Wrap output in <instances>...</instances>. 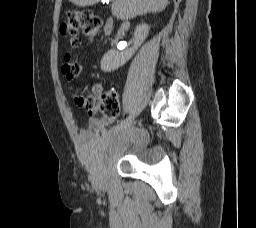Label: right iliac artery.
<instances>
[{
	"instance_id": "obj_1",
	"label": "right iliac artery",
	"mask_w": 256,
	"mask_h": 228,
	"mask_svg": "<svg viewBox=\"0 0 256 228\" xmlns=\"http://www.w3.org/2000/svg\"><path fill=\"white\" fill-rule=\"evenodd\" d=\"M132 120V115L128 116L126 119H124L123 121L120 122V124L118 125L119 127H126L127 124H129Z\"/></svg>"
}]
</instances>
